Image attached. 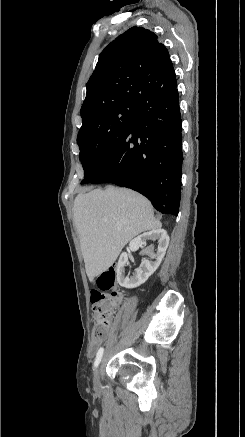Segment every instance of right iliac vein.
I'll list each match as a JSON object with an SVG mask.
<instances>
[{
	"mask_svg": "<svg viewBox=\"0 0 245 437\" xmlns=\"http://www.w3.org/2000/svg\"><path fill=\"white\" fill-rule=\"evenodd\" d=\"M100 383V367H97L95 373H94V384L95 386H99Z\"/></svg>",
	"mask_w": 245,
	"mask_h": 437,
	"instance_id": "right-iliac-vein-1",
	"label": "right iliac vein"
}]
</instances>
